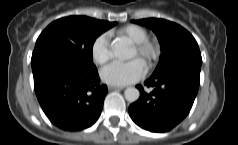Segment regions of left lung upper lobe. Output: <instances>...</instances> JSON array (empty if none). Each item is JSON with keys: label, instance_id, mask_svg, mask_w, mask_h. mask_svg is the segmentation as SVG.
Wrapping results in <instances>:
<instances>
[{"label": "left lung upper lobe", "instance_id": "5c2ea615", "mask_svg": "<svg viewBox=\"0 0 238 145\" xmlns=\"http://www.w3.org/2000/svg\"><path fill=\"white\" fill-rule=\"evenodd\" d=\"M132 22L152 29L159 39L161 55L152 75L189 65L201 66L202 58L196 40L180 25L156 18L133 20Z\"/></svg>", "mask_w": 238, "mask_h": 145}]
</instances>
